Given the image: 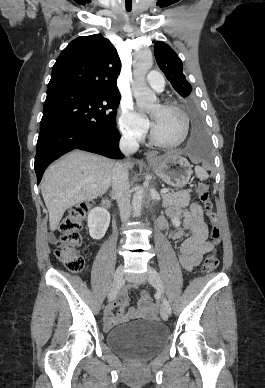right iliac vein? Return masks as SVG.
Wrapping results in <instances>:
<instances>
[{
	"label": "right iliac vein",
	"mask_w": 265,
	"mask_h": 388,
	"mask_svg": "<svg viewBox=\"0 0 265 388\" xmlns=\"http://www.w3.org/2000/svg\"><path fill=\"white\" fill-rule=\"evenodd\" d=\"M122 277H123V265L121 264L117 267L115 274H114L113 285H112L110 292L108 294L109 301H113L115 299V297L118 293L119 287L121 285Z\"/></svg>",
	"instance_id": "63e3f726"
}]
</instances>
